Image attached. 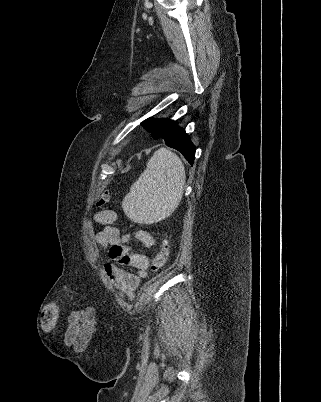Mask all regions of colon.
<instances>
[{
  "mask_svg": "<svg viewBox=\"0 0 321 402\" xmlns=\"http://www.w3.org/2000/svg\"><path fill=\"white\" fill-rule=\"evenodd\" d=\"M110 201V193L104 192L99 198L98 206H104ZM170 254L169 242L166 239L161 241L160 247L151 262V270L157 272L161 270L167 263ZM58 316V307L51 304L43 311L41 316V326L44 330H51L56 323Z\"/></svg>",
  "mask_w": 321,
  "mask_h": 402,
  "instance_id": "colon-1",
  "label": "colon"
}]
</instances>
